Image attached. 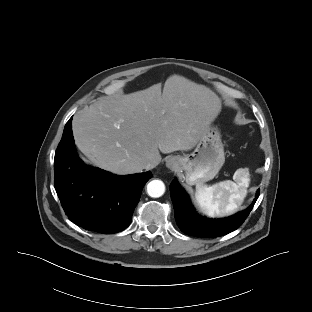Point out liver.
Listing matches in <instances>:
<instances>
[{
  "label": "liver",
  "instance_id": "1",
  "mask_svg": "<svg viewBox=\"0 0 312 312\" xmlns=\"http://www.w3.org/2000/svg\"><path fill=\"white\" fill-rule=\"evenodd\" d=\"M221 112L220 98L209 88L173 75L161 84L101 98L72 121L83 160L117 175L140 173L147 160L197 145Z\"/></svg>",
  "mask_w": 312,
  "mask_h": 312
}]
</instances>
